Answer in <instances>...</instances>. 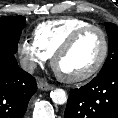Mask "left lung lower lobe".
Segmentation results:
<instances>
[{"label":"left lung lower lobe","instance_id":"left-lung-lower-lobe-1","mask_svg":"<svg viewBox=\"0 0 118 118\" xmlns=\"http://www.w3.org/2000/svg\"><path fill=\"white\" fill-rule=\"evenodd\" d=\"M65 118H118V69L70 91Z\"/></svg>","mask_w":118,"mask_h":118}]
</instances>
